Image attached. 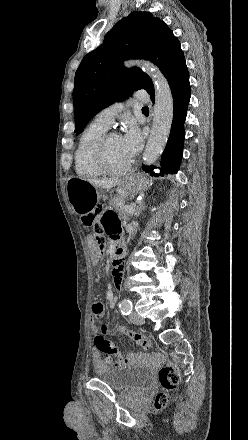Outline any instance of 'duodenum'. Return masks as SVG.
I'll return each mask as SVG.
<instances>
[{
    "instance_id": "obj_1",
    "label": "duodenum",
    "mask_w": 248,
    "mask_h": 440,
    "mask_svg": "<svg viewBox=\"0 0 248 440\" xmlns=\"http://www.w3.org/2000/svg\"><path fill=\"white\" fill-rule=\"evenodd\" d=\"M125 252V247H124V243L120 240V239H116V244H115V248H114V253H113V257H114V265L116 266L115 260L118 257H123Z\"/></svg>"
}]
</instances>
